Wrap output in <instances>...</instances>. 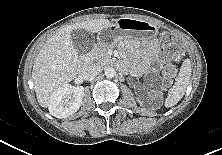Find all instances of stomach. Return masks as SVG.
Instances as JSON below:
<instances>
[{
	"label": "stomach",
	"instance_id": "stomach-1",
	"mask_svg": "<svg viewBox=\"0 0 222 155\" xmlns=\"http://www.w3.org/2000/svg\"><path fill=\"white\" fill-rule=\"evenodd\" d=\"M157 33L158 28L148 21L124 17L100 31L98 41L101 46H113L121 40L138 45L155 38Z\"/></svg>",
	"mask_w": 222,
	"mask_h": 155
}]
</instances>
